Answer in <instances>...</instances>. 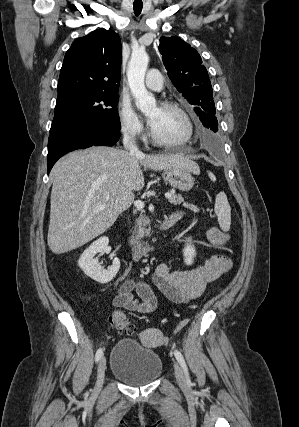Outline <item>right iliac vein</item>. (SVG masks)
<instances>
[{"label": "right iliac vein", "instance_id": "right-iliac-vein-1", "mask_svg": "<svg viewBox=\"0 0 299 427\" xmlns=\"http://www.w3.org/2000/svg\"><path fill=\"white\" fill-rule=\"evenodd\" d=\"M105 370H106V358L102 357L99 361L98 368H97V379H96V385L95 390L100 391L104 382L105 377Z\"/></svg>", "mask_w": 299, "mask_h": 427}]
</instances>
